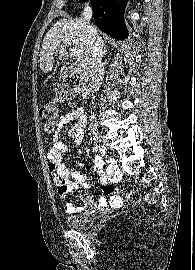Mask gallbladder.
Wrapping results in <instances>:
<instances>
[{"label":"gallbladder","instance_id":"gallbladder-1","mask_svg":"<svg viewBox=\"0 0 195 270\" xmlns=\"http://www.w3.org/2000/svg\"><path fill=\"white\" fill-rule=\"evenodd\" d=\"M68 74H70V67L63 66L60 70V76H66Z\"/></svg>","mask_w":195,"mask_h":270}]
</instances>
